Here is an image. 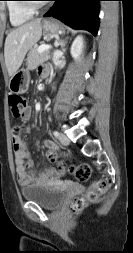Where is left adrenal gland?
Here are the masks:
<instances>
[{
    "label": "left adrenal gland",
    "mask_w": 133,
    "mask_h": 253,
    "mask_svg": "<svg viewBox=\"0 0 133 253\" xmlns=\"http://www.w3.org/2000/svg\"><path fill=\"white\" fill-rule=\"evenodd\" d=\"M66 43H67V42H66V41H64V40H59V41H58V45H60L62 49H64V48H65Z\"/></svg>",
    "instance_id": "a2214340"
}]
</instances>
